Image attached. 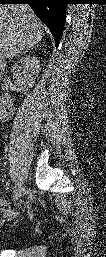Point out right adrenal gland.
Listing matches in <instances>:
<instances>
[{
  "label": "right adrenal gland",
  "instance_id": "obj_1",
  "mask_svg": "<svg viewBox=\"0 0 106 257\" xmlns=\"http://www.w3.org/2000/svg\"><path fill=\"white\" fill-rule=\"evenodd\" d=\"M32 49H33V47H32V48H29V49H25V50L22 51L20 54L22 55L23 53H26V52H28V51H30V50H32ZM20 54H18L17 57H19Z\"/></svg>",
  "mask_w": 106,
  "mask_h": 257
}]
</instances>
